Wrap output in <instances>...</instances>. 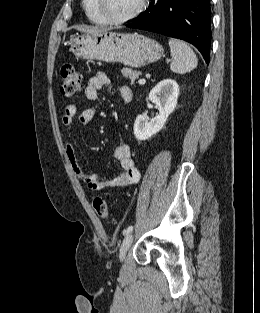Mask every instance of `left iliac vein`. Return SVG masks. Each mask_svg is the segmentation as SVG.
I'll return each mask as SVG.
<instances>
[{
    "instance_id": "left-iliac-vein-1",
    "label": "left iliac vein",
    "mask_w": 260,
    "mask_h": 313,
    "mask_svg": "<svg viewBox=\"0 0 260 313\" xmlns=\"http://www.w3.org/2000/svg\"><path fill=\"white\" fill-rule=\"evenodd\" d=\"M132 241H133V234L132 232H129L128 234H126L125 238L123 239V242L120 248V253H119L120 260H123L125 258L126 253L132 244Z\"/></svg>"
}]
</instances>
